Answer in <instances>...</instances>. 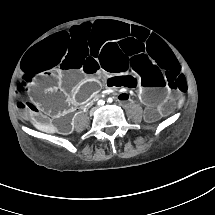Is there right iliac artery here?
<instances>
[{
	"mask_svg": "<svg viewBox=\"0 0 215 215\" xmlns=\"http://www.w3.org/2000/svg\"><path fill=\"white\" fill-rule=\"evenodd\" d=\"M104 103H105V101H103V100L98 101V105H104Z\"/></svg>",
	"mask_w": 215,
	"mask_h": 215,
	"instance_id": "1",
	"label": "right iliac artery"
}]
</instances>
